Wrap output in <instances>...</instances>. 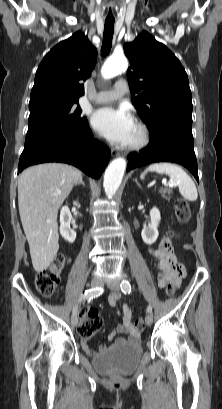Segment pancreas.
<instances>
[{
	"label": "pancreas",
	"mask_w": 222,
	"mask_h": 409,
	"mask_svg": "<svg viewBox=\"0 0 222 409\" xmlns=\"http://www.w3.org/2000/svg\"><path fill=\"white\" fill-rule=\"evenodd\" d=\"M170 192H171V191H170V189H166V188H165V189H161V190H160V193H161V194H162V196H163L164 198H166V199H169V198H170L169 196H167V195H166V194H168V195H169V194H170Z\"/></svg>",
	"instance_id": "obj_1"
}]
</instances>
